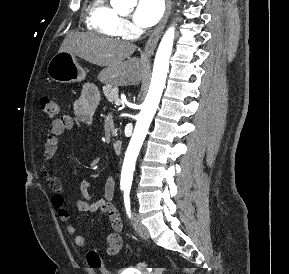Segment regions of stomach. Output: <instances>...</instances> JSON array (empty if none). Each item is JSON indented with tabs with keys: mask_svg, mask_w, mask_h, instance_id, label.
<instances>
[{
	"mask_svg": "<svg viewBox=\"0 0 289 274\" xmlns=\"http://www.w3.org/2000/svg\"><path fill=\"white\" fill-rule=\"evenodd\" d=\"M51 80L59 83H74L84 80L85 71L78 64L75 55L69 52H58L47 66Z\"/></svg>",
	"mask_w": 289,
	"mask_h": 274,
	"instance_id": "obj_1",
	"label": "stomach"
}]
</instances>
